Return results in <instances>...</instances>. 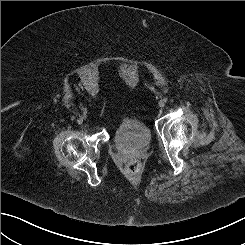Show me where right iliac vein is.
Listing matches in <instances>:
<instances>
[{
    "mask_svg": "<svg viewBox=\"0 0 245 245\" xmlns=\"http://www.w3.org/2000/svg\"><path fill=\"white\" fill-rule=\"evenodd\" d=\"M76 122H77V124H78V125H82V124H83V120H82V119H80V118H79V119H77V121H76Z\"/></svg>",
    "mask_w": 245,
    "mask_h": 245,
    "instance_id": "63e3f726",
    "label": "right iliac vein"
}]
</instances>
